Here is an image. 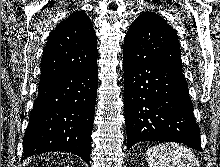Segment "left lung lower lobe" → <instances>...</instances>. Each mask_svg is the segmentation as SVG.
Returning <instances> with one entry per match:
<instances>
[{"mask_svg":"<svg viewBox=\"0 0 220 167\" xmlns=\"http://www.w3.org/2000/svg\"><path fill=\"white\" fill-rule=\"evenodd\" d=\"M127 148L140 141H173L201 151L182 69L124 54Z\"/></svg>","mask_w":220,"mask_h":167,"instance_id":"obj_1","label":"left lung lower lobe"}]
</instances>
